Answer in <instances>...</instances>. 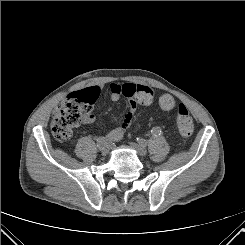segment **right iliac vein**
Here are the masks:
<instances>
[{"label":"right iliac vein","mask_w":245,"mask_h":245,"mask_svg":"<svg viewBox=\"0 0 245 245\" xmlns=\"http://www.w3.org/2000/svg\"><path fill=\"white\" fill-rule=\"evenodd\" d=\"M100 152H101V154L103 155V156H106L108 153H109V149H108V151H103V148L100 150Z\"/></svg>","instance_id":"1"}]
</instances>
